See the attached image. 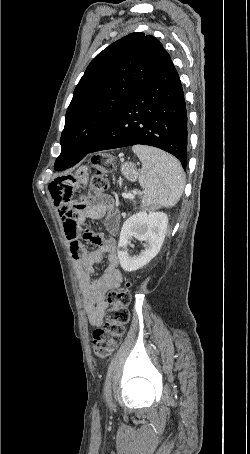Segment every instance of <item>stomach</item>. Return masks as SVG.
I'll list each match as a JSON object with an SVG mask.
<instances>
[{
    "label": "stomach",
    "mask_w": 250,
    "mask_h": 454,
    "mask_svg": "<svg viewBox=\"0 0 250 454\" xmlns=\"http://www.w3.org/2000/svg\"><path fill=\"white\" fill-rule=\"evenodd\" d=\"M121 172L126 178L132 181L136 180L138 177V173L135 170L134 164L130 162L124 163L122 165Z\"/></svg>",
    "instance_id": "1"
}]
</instances>
